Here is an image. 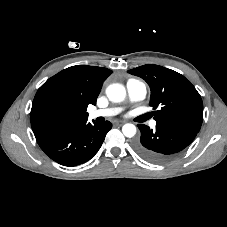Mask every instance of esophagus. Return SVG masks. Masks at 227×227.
Returning a JSON list of instances; mask_svg holds the SVG:
<instances>
[{
  "instance_id": "1",
  "label": "esophagus",
  "mask_w": 227,
  "mask_h": 227,
  "mask_svg": "<svg viewBox=\"0 0 227 227\" xmlns=\"http://www.w3.org/2000/svg\"><path fill=\"white\" fill-rule=\"evenodd\" d=\"M123 124H124L123 121H118V122H116V125H118V126H121V125H123Z\"/></svg>"
}]
</instances>
